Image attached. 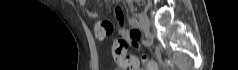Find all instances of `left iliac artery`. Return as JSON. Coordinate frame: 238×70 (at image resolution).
I'll use <instances>...</instances> for the list:
<instances>
[{"instance_id":"44dca946","label":"left iliac artery","mask_w":238,"mask_h":70,"mask_svg":"<svg viewBox=\"0 0 238 70\" xmlns=\"http://www.w3.org/2000/svg\"><path fill=\"white\" fill-rule=\"evenodd\" d=\"M129 22L133 27H136L138 25L137 20L135 18H130Z\"/></svg>"}]
</instances>
